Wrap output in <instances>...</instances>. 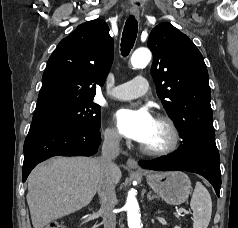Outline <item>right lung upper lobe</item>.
I'll list each match as a JSON object with an SVG mask.
<instances>
[{
	"label": "right lung upper lobe",
	"instance_id": "cb5924a9",
	"mask_svg": "<svg viewBox=\"0 0 238 228\" xmlns=\"http://www.w3.org/2000/svg\"><path fill=\"white\" fill-rule=\"evenodd\" d=\"M114 55V41L103 20L78 26L50 56L42 77L34 116L92 100L105 82Z\"/></svg>",
	"mask_w": 238,
	"mask_h": 228
}]
</instances>
